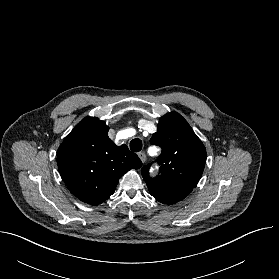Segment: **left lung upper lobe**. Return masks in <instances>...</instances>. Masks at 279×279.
<instances>
[{
    "instance_id": "left-lung-upper-lobe-1",
    "label": "left lung upper lobe",
    "mask_w": 279,
    "mask_h": 279,
    "mask_svg": "<svg viewBox=\"0 0 279 279\" xmlns=\"http://www.w3.org/2000/svg\"><path fill=\"white\" fill-rule=\"evenodd\" d=\"M151 144L162 149L157 162L159 175L151 178L150 165L142 176L150 194L159 202L174 204L188 196L199 182L206 162V149L187 121L177 112L163 116Z\"/></svg>"
}]
</instances>
